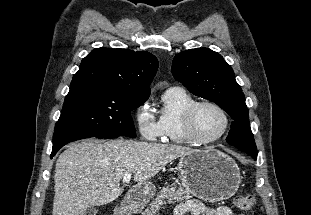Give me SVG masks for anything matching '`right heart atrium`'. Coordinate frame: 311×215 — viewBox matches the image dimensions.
<instances>
[{
	"label": "right heart atrium",
	"mask_w": 311,
	"mask_h": 215,
	"mask_svg": "<svg viewBox=\"0 0 311 215\" xmlns=\"http://www.w3.org/2000/svg\"><path fill=\"white\" fill-rule=\"evenodd\" d=\"M133 118L140 136L147 141L162 138V128L159 119L153 114L147 100L139 103L133 112Z\"/></svg>",
	"instance_id": "d8ad5b80"
}]
</instances>
